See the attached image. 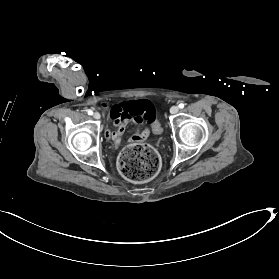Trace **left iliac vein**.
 <instances>
[{"label": "left iliac vein", "mask_w": 279, "mask_h": 279, "mask_svg": "<svg viewBox=\"0 0 279 279\" xmlns=\"http://www.w3.org/2000/svg\"><path fill=\"white\" fill-rule=\"evenodd\" d=\"M178 111H179L178 106H172V107L170 108V113H171V114H176Z\"/></svg>", "instance_id": "left-iliac-vein-1"}]
</instances>
